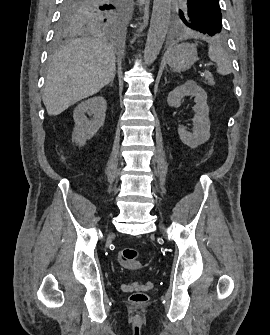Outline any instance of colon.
Returning <instances> with one entry per match:
<instances>
[{
    "mask_svg": "<svg viewBox=\"0 0 270 335\" xmlns=\"http://www.w3.org/2000/svg\"><path fill=\"white\" fill-rule=\"evenodd\" d=\"M138 250L136 248H122L119 254V261L124 267L138 266ZM131 300L136 304H144L147 295L144 293H132Z\"/></svg>",
    "mask_w": 270,
    "mask_h": 335,
    "instance_id": "1",
    "label": "colon"
}]
</instances>
